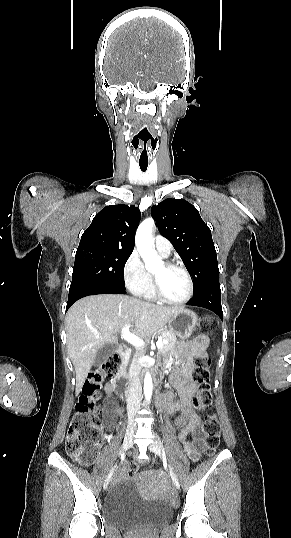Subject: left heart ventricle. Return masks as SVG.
<instances>
[{
    "label": "left heart ventricle",
    "instance_id": "b2bd125f",
    "mask_svg": "<svg viewBox=\"0 0 291 538\" xmlns=\"http://www.w3.org/2000/svg\"><path fill=\"white\" fill-rule=\"evenodd\" d=\"M153 274L158 277L164 295L172 300L182 299L188 291V282L184 273L178 269H166L159 265Z\"/></svg>",
    "mask_w": 291,
    "mask_h": 538
}]
</instances>
